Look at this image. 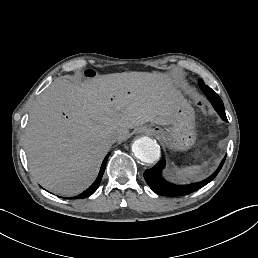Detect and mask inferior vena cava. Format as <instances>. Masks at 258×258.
I'll return each mask as SVG.
<instances>
[{
    "instance_id": "inferior-vena-cava-1",
    "label": "inferior vena cava",
    "mask_w": 258,
    "mask_h": 258,
    "mask_svg": "<svg viewBox=\"0 0 258 258\" xmlns=\"http://www.w3.org/2000/svg\"><path fill=\"white\" fill-rule=\"evenodd\" d=\"M105 139L111 145L118 141V136L115 132H110Z\"/></svg>"
}]
</instances>
